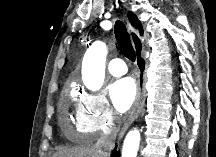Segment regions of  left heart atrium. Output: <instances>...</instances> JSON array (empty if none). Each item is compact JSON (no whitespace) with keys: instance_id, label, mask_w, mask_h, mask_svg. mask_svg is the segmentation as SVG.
<instances>
[{"instance_id":"obj_1","label":"left heart atrium","mask_w":216,"mask_h":157,"mask_svg":"<svg viewBox=\"0 0 216 157\" xmlns=\"http://www.w3.org/2000/svg\"><path fill=\"white\" fill-rule=\"evenodd\" d=\"M115 109L124 113L130 109L136 98V85L133 79L123 78L115 81L109 90Z\"/></svg>"}]
</instances>
